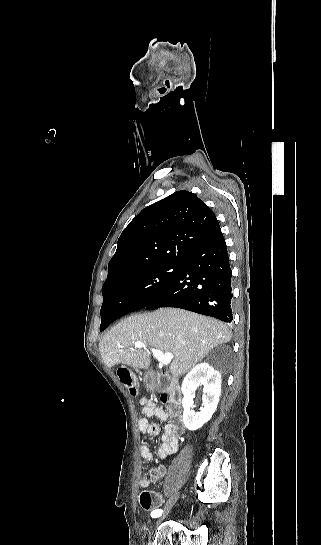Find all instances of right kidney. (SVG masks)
Wrapping results in <instances>:
<instances>
[{"instance_id": "right-kidney-1", "label": "right kidney", "mask_w": 321, "mask_h": 545, "mask_svg": "<svg viewBox=\"0 0 321 545\" xmlns=\"http://www.w3.org/2000/svg\"><path fill=\"white\" fill-rule=\"evenodd\" d=\"M200 385H204L202 397L204 409L200 413H194L191 411L195 407L193 393ZM181 391L184 395L182 399L184 425L189 431H196L210 421L217 409L221 395V375L219 371L210 367L209 363H200L186 375Z\"/></svg>"}]
</instances>
